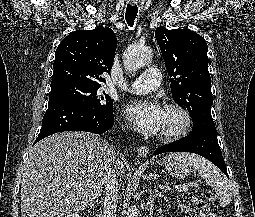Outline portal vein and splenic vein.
Returning a JSON list of instances; mask_svg holds the SVG:
<instances>
[{"label": "portal vein and splenic vein", "instance_id": "1", "mask_svg": "<svg viewBox=\"0 0 255 217\" xmlns=\"http://www.w3.org/2000/svg\"><path fill=\"white\" fill-rule=\"evenodd\" d=\"M160 188L162 189H166V190H172V189H175L177 190L178 192H187L188 191V188L186 185H182V186H176V187H169V186H160Z\"/></svg>", "mask_w": 255, "mask_h": 217}]
</instances>
